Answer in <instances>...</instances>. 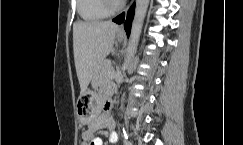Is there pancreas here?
Here are the masks:
<instances>
[{
    "mask_svg": "<svg viewBox=\"0 0 243 145\" xmlns=\"http://www.w3.org/2000/svg\"><path fill=\"white\" fill-rule=\"evenodd\" d=\"M98 78L103 80H111L114 76V69L111 66L109 61H104L98 70L97 73Z\"/></svg>",
    "mask_w": 243,
    "mask_h": 145,
    "instance_id": "obj_1",
    "label": "pancreas"
}]
</instances>
